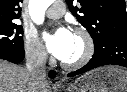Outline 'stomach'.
Instances as JSON below:
<instances>
[{
  "label": "stomach",
  "instance_id": "1",
  "mask_svg": "<svg viewBox=\"0 0 127 92\" xmlns=\"http://www.w3.org/2000/svg\"><path fill=\"white\" fill-rule=\"evenodd\" d=\"M68 92H127V71L115 66H104L80 77Z\"/></svg>",
  "mask_w": 127,
  "mask_h": 92
}]
</instances>
